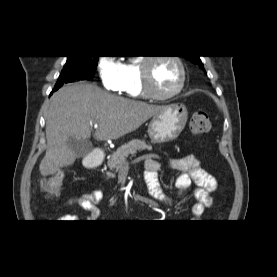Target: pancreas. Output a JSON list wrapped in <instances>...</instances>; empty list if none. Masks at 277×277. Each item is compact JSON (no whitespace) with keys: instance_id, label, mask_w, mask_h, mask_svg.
Here are the masks:
<instances>
[{"instance_id":"1","label":"pancreas","mask_w":277,"mask_h":277,"mask_svg":"<svg viewBox=\"0 0 277 277\" xmlns=\"http://www.w3.org/2000/svg\"><path fill=\"white\" fill-rule=\"evenodd\" d=\"M151 150L152 147L147 145L144 140L134 139L124 144L117 149L115 153L109 158L107 165L111 171L118 170L123 164L126 163V160L129 155H135L138 150ZM108 177H114L115 174L112 172H107Z\"/></svg>"}]
</instances>
